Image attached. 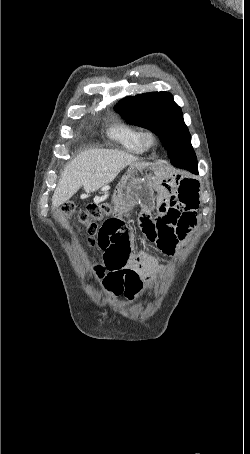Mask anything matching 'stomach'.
<instances>
[{"instance_id":"stomach-1","label":"stomach","mask_w":250,"mask_h":454,"mask_svg":"<svg viewBox=\"0 0 250 454\" xmlns=\"http://www.w3.org/2000/svg\"><path fill=\"white\" fill-rule=\"evenodd\" d=\"M149 167L131 164L125 176H149ZM121 184V183H120Z\"/></svg>"}]
</instances>
